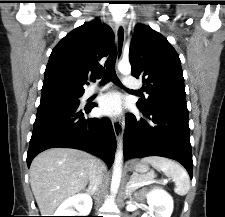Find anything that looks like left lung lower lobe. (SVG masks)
Wrapping results in <instances>:
<instances>
[{"label": "left lung lower lobe", "mask_w": 225, "mask_h": 217, "mask_svg": "<svg viewBox=\"0 0 225 217\" xmlns=\"http://www.w3.org/2000/svg\"><path fill=\"white\" fill-rule=\"evenodd\" d=\"M139 108V107H138ZM128 114L124 132V158L162 156L177 160L192 179L193 161L186 104H156Z\"/></svg>", "instance_id": "0a47b994"}]
</instances>
